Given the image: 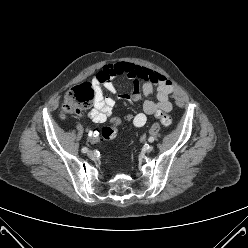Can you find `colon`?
I'll use <instances>...</instances> for the list:
<instances>
[{
    "label": "colon",
    "mask_w": 248,
    "mask_h": 248,
    "mask_svg": "<svg viewBox=\"0 0 248 248\" xmlns=\"http://www.w3.org/2000/svg\"><path fill=\"white\" fill-rule=\"evenodd\" d=\"M96 89L89 82L80 83L73 88H71L65 95L63 105H62V117H67L71 114L81 113L87 106H89L95 99ZM160 122L169 126L172 123L171 116L165 113H157L156 115ZM123 118L126 122L131 123L134 121L135 116L130 111H125L123 113ZM120 125L119 118H113L111 120V125L103 128L102 133L98 129H91L87 133V140L90 143L97 144L101 140V134L105 141H111L117 133V128Z\"/></svg>",
    "instance_id": "5ec220e1"
}]
</instances>
